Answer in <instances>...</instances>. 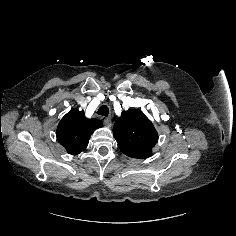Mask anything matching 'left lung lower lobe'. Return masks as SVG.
<instances>
[{
    "mask_svg": "<svg viewBox=\"0 0 236 236\" xmlns=\"http://www.w3.org/2000/svg\"><path fill=\"white\" fill-rule=\"evenodd\" d=\"M122 152L129 157L138 159H145L151 156V152H145V151L122 150Z\"/></svg>",
    "mask_w": 236,
    "mask_h": 236,
    "instance_id": "0a47b994",
    "label": "left lung lower lobe"
}]
</instances>
